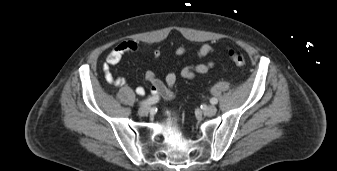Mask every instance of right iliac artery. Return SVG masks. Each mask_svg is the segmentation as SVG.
<instances>
[{
    "instance_id": "82829eb1",
    "label": "right iliac artery",
    "mask_w": 337,
    "mask_h": 171,
    "mask_svg": "<svg viewBox=\"0 0 337 171\" xmlns=\"http://www.w3.org/2000/svg\"><path fill=\"white\" fill-rule=\"evenodd\" d=\"M158 100H159L158 97L153 96V97H150V98H148V99L142 101V102L140 103V106H148V105H152V104L157 103Z\"/></svg>"
}]
</instances>
